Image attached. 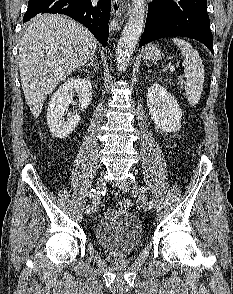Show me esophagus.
I'll use <instances>...</instances> for the list:
<instances>
[{"mask_svg":"<svg viewBox=\"0 0 233 294\" xmlns=\"http://www.w3.org/2000/svg\"><path fill=\"white\" fill-rule=\"evenodd\" d=\"M127 7V2H123L122 0H111V12L115 19H117L116 24L113 25L111 29L116 30L118 22L125 16Z\"/></svg>","mask_w":233,"mask_h":294,"instance_id":"1","label":"esophagus"}]
</instances>
